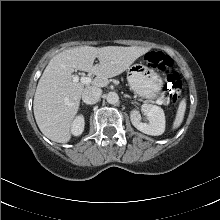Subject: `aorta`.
Listing matches in <instances>:
<instances>
[{"label":"aorta","mask_w":220,"mask_h":220,"mask_svg":"<svg viewBox=\"0 0 220 220\" xmlns=\"http://www.w3.org/2000/svg\"><path fill=\"white\" fill-rule=\"evenodd\" d=\"M106 100L109 104H117L119 102V96L116 92H109L106 95Z\"/></svg>","instance_id":"aorta-1"}]
</instances>
